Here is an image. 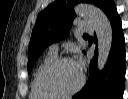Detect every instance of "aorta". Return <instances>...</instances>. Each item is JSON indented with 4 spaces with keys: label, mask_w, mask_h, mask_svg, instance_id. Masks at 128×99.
<instances>
[{
    "label": "aorta",
    "mask_w": 128,
    "mask_h": 99,
    "mask_svg": "<svg viewBox=\"0 0 128 99\" xmlns=\"http://www.w3.org/2000/svg\"><path fill=\"white\" fill-rule=\"evenodd\" d=\"M75 12L93 25L98 39L97 68L102 70L107 63L112 47L113 32L111 23L102 10L91 4L80 3L75 7Z\"/></svg>",
    "instance_id": "762f6f07"
}]
</instances>
